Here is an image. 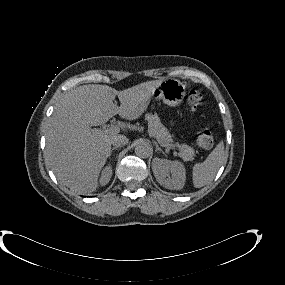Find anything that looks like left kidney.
I'll use <instances>...</instances> for the list:
<instances>
[{"instance_id": "1", "label": "left kidney", "mask_w": 285, "mask_h": 285, "mask_svg": "<svg viewBox=\"0 0 285 285\" xmlns=\"http://www.w3.org/2000/svg\"><path fill=\"white\" fill-rule=\"evenodd\" d=\"M152 171L158 183L167 189L181 190L185 185L186 171L181 162L155 158Z\"/></svg>"}]
</instances>
